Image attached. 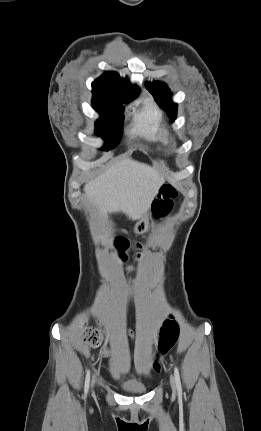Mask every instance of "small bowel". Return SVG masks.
Wrapping results in <instances>:
<instances>
[{"mask_svg": "<svg viewBox=\"0 0 261 431\" xmlns=\"http://www.w3.org/2000/svg\"><path fill=\"white\" fill-rule=\"evenodd\" d=\"M130 300H135V295H130ZM128 335H129V337L132 338V337H134L135 334H134V332L131 331V332H129Z\"/></svg>", "mask_w": 261, "mask_h": 431, "instance_id": "c3829d8e", "label": "small bowel"}]
</instances>
